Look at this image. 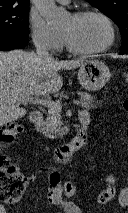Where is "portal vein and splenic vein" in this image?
<instances>
[{
	"mask_svg": "<svg viewBox=\"0 0 128 213\" xmlns=\"http://www.w3.org/2000/svg\"><path fill=\"white\" fill-rule=\"evenodd\" d=\"M25 101H29V102H32L35 104H40V105L48 107L49 109H54V110H59V111H61V109H62V105L60 102L53 101L50 99H42V98H39L38 96L29 97ZM72 103L79 104V101L74 100Z\"/></svg>",
	"mask_w": 128,
	"mask_h": 213,
	"instance_id": "portal-vein-and-splenic-vein-1",
	"label": "portal vein and splenic vein"
}]
</instances>
